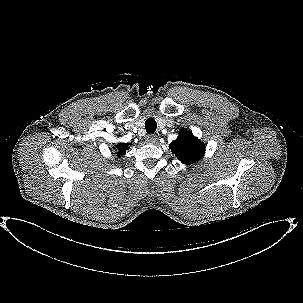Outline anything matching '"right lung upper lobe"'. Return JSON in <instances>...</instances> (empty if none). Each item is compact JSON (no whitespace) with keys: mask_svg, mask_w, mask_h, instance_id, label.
Wrapping results in <instances>:
<instances>
[{"mask_svg":"<svg viewBox=\"0 0 303 303\" xmlns=\"http://www.w3.org/2000/svg\"><path fill=\"white\" fill-rule=\"evenodd\" d=\"M129 143H119L118 145H117V150H118V152H117V154L120 156V155H123L124 153H125V151L129 148Z\"/></svg>","mask_w":303,"mask_h":303,"instance_id":"obj_1","label":"right lung upper lobe"}]
</instances>
